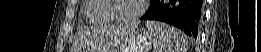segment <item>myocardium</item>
Listing matches in <instances>:
<instances>
[{"instance_id":"f54148a6","label":"myocardium","mask_w":261,"mask_h":52,"mask_svg":"<svg viewBox=\"0 0 261 52\" xmlns=\"http://www.w3.org/2000/svg\"><path fill=\"white\" fill-rule=\"evenodd\" d=\"M113 1H115V0H106L105 10L108 13V15L110 16L112 23H116V24H132V23H135L143 15V13L146 9V1L140 0V6H139L138 10L133 15L129 16L128 18H117V17L115 18L112 15V10L114 8Z\"/></svg>"}]
</instances>
